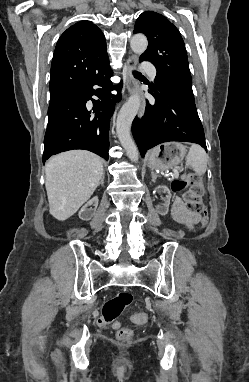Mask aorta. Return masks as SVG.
Wrapping results in <instances>:
<instances>
[{
    "label": "aorta",
    "mask_w": 249,
    "mask_h": 382,
    "mask_svg": "<svg viewBox=\"0 0 249 382\" xmlns=\"http://www.w3.org/2000/svg\"><path fill=\"white\" fill-rule=\"evenodd\" d=\"M130 46L134 53L140 55L147 49V38L143 34H136L131 38ZM139 107V95H132L121 108L116 120V133L119 141L125 149L129 159L134 162L138 161L139 153L134 141L132 140L130 129Z\"/></svg>",
    "instance_id": "aorta-1"
}]
</instances>
